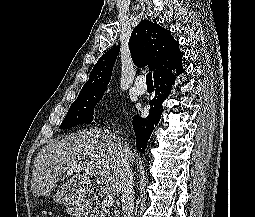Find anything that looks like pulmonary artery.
Wrapping results in <instances>:
<instances>
[{"label": "pulmonary artery", "mask_w": 255, "mask_h": 217, "mask_svg": "<svg viewBox=\"0 0 255 217\" xmlns=\"http://www.w3.org/2000/svg\"><path fill=\"white\" fill-rule=\"evenodd\" d=\"M144 82V76L140 75L134 83V91L137 95H143L146 92V87L141 85Z\"/></svg>", "instance_id": "e3ab8cb5"}]
</instances>
